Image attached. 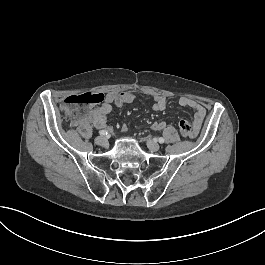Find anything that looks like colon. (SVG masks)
Masks as SVG:
<instances>
[{"label": "colon", "instance_id": "obj_1", "mask_svg": "<svg viewBox=\"0 0 265 265\" xmlns=\"http://www.w3.org/2000/svg\"><path fill=\"white\" fill-rule=\"evenodd\" d=\"M105 97L103 93L96 91L90 93L74 94L70 98L61 101L59 105V112L62 118L66 120H72L76 118L77 109L85 106H99L103 104ZM180 134L183 137H192L194 135V129L190 120H180L179 122Z\"/></svg>", "mask_w": 265, "mask_h": 265}]
</instances>
